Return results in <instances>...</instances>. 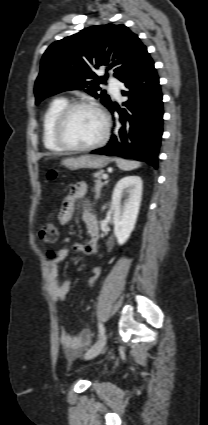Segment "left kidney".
<instances>
[{
    "instance_id": "1",
    "label": "left kidney",
    "mask_w": 208,
    "mask_h": 425,
    "mask_svg": "<svg viewBox=\"0 0 208 425\" xmlns=\"http://www.w3.org/2000/svg\"><path fill=\"white\" fill-rule=\"evenodd\" d=\"M142 184L139 176H127L114 187L111 213L114 235L119 245L128 240L135 228L142 199Z\"/></svg>"
}]
</instances>
